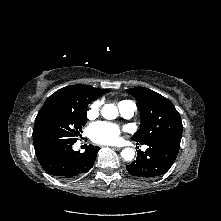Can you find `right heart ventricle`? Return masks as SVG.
<instances>
[{
	"label": "right heart ventricle",
	"instance_id": "obj_1",
	"mask_svg": "<svg viewBox=\"0 0 221 221\" xmlns=\"http://www.w3.org/2000/svg\"><path fill=\"white\" fill-rule=\"evenodd\" d=\"M124 102H126V100H124V101H120L119 104L124 103Z\"/></svg>",
	"mask_w": 221,
	"mask_h": 221
}]
</instances>
